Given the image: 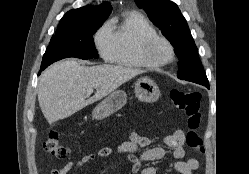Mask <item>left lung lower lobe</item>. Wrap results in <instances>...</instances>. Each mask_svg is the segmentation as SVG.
<instances>
[{
  "mask_svg": "<svg viewBox=\"0 0 249 174\" xmlns=\"http://www.w3.org/2000/svg\"><path fill=\"white\" fill-rule=\"evenodd\" d=\"M191 82H195V83L204 85L207 88H209V82H208V79H206V78L194 79Z\"/></svg>",
  "mask_w": 249,
  "mask_h": 174,
  "instance_id": "0a47b994",
  "label": "left lung lower lobe"
}]
</instances>
